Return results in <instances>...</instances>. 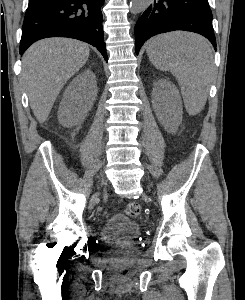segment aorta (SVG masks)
<instances>
[{
    "label": "aorta",
    "instance_id": "1",
    "mask_svg": "<svg viewBox=\"0 0 245 300\" xmlns=\"http://www.w3.org/2000/svg\"><path fill=\"white\" fill-rule=\"evenodd\" d=\"M153 0H131L130 1V11L132 14H138L146 10Z\"/></svg>",
    "mask_w": 245,
    "mask_h": 300
}]
</instances>
